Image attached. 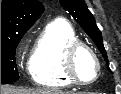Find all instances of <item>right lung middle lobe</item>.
Returning a JSON list of instances; mask_svg holds the SVG:
<instances>
[{"label":"right lung middle lobe","instance_id":"1","mask_svg":"<svg viewBox=\"0 0 121 94\" xmlns=\"http://www.w3.org/2000/svg\"><path fill=\"white\" fill-rule=\"evenodd\" d=\"M28 30H19L1 36V84L18 80L15 52L18 43Z\"/></svg>","mask_w":121,"mask_h":94}]
</instances>
